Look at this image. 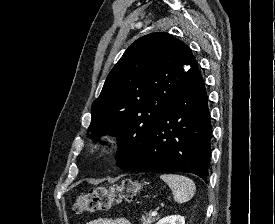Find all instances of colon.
I'll return each mask as SVG.
<instances>
[{
	"instance_id": "colon-1",
	"label": "colon",
	"mask_w": 275,
	"mask_h": 224,
	"mask_svg": "<svg viewBox=\"0 0 275 224\" xmlns=\"http://www.w3.org/2000/svg\"><path fill=\"white\" fill-rule=\"evenodd\" d=\"M142 186L139 181L125 179L109 187H98L80 195L74 204V211L76 213L107 211L115 204L134 200Z\"/></svg>"
}]
</instances>
